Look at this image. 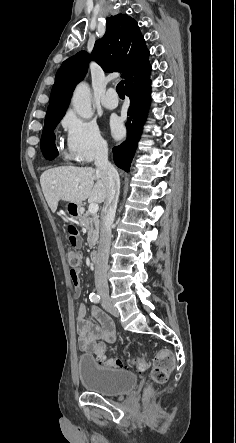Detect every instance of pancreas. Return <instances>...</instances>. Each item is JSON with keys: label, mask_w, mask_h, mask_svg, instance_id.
Segmentation results:
<instances>
[{"label": "pancreas", "mask_w": 236, "mask_h": 443, "mask_svg": "<svg viewBox=\"0 0 236 443\" xmlns=\"http://www.w3.org/2000/svg\"><path fill=\"white\" fill-rule=\"evenodd\" d=\"M80 225L88 231L89 248H94L99 238L100 220L96 214H91L87 211L80 217Z\"/></svg>", "instance_id": "1"}]
</instances>
